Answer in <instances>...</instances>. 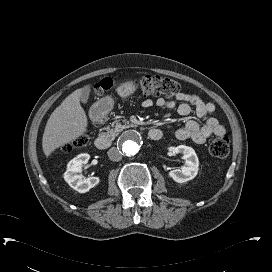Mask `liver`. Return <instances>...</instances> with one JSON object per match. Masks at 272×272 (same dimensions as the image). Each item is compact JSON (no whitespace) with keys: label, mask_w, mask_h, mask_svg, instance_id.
Listing matches in <instances>:
<instances>
[{"label":"liver","mask_w":272,"mask_h":272,"mask_svg":"<svg viewBox=\"0 0 272 272\" xmlns=\"http://www.w3.org/2000/svg\"><path fill=\"white\" fill-rule=\"evenodd\" d=\"M82 89L67 96L50 115L42 138V149L46 157L87 131V116L80 105Z\"/></svg>","instance_id":"obj_1"}]
</instances>
